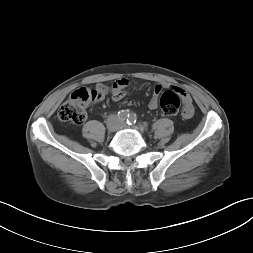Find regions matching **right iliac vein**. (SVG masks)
I'll return each mask as SVG.
<instances>
[{"label":"right iliac vein","instance_id":"63e3f726","mask_svg":"<svg viewBox=\"0 0 253 253\" xmlns=\"http://www.w3.org/2000/svg\"><path fill=\"white\" fill-rule=\"evenodd\" d=\"M107 129H108L109 132H114L116 130V120H115V118H111L107 122Z\"/></svg>","mask_w":253,"mask_h":253}]
</instances>
